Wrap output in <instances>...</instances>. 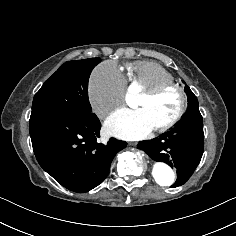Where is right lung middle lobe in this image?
Masks as SVG:
<instances>
[{
  "label": "right lung middle lobe",
  "instance_id": "obj_1",
  "mask_svg": "<svg viewBox=\"0 0 236 236\" xmlns=\"http://www.w3.org/2000/svg\"><path fill=\"white\" fill-rule=\"evenodd\" d=\"M100 58L64 63L42 85L32 103L30 123L59 114H90L88 80Z\"/></svg>",
  "mask_w": 236,
  "mask_h": 236
}]
</instances>
